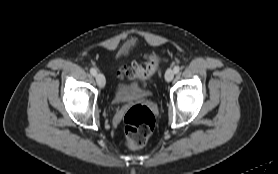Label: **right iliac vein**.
Returning <instances> with one entry per match:
<instances>
[{
  "label": "right iliac vein",
  "instance_id": "obj_1",
  "mask_svg": "<svg viewBox=\"0 0 278 174\" xmlns=\"http://www.w3.org/2000/svg\"><path fill=\"white\" fill-rule=\"evenodd\" d=\"M96 82L100 88H103L105 86V82H106L104 75L101 73H98L96 75Z\"/></svg>",
  "mask_w": 278,
  "mask_h": 174
}]
</instances>
